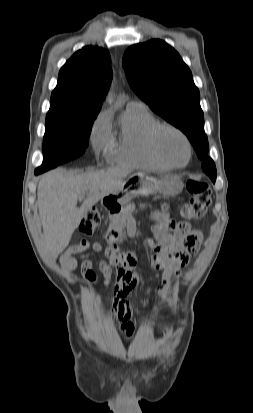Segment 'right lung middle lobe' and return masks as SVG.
<instances>
[{
	"label": "right lung middle lobe",
	"instance_id": "dd1d6c3e",
	"mask_svg": "<svg viewBox=\"0 0 253 413\" xmlns=\"http://www.w3.org/2000/svg\"><path fill=\"white\" fill-rule=\"evenodd\" d=\"M96 116L46 117L44 160L36 170L45 172L81 156L87 146Z\"/></svg>",
	"mask_w": 253,
	"mask_h": 413
}]
</instances>
